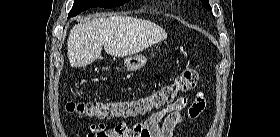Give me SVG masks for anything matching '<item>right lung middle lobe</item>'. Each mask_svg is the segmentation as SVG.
<instances>
[{"instance_id":"1","label":"right lung middle lobe","mask_w":280,"mask_h":137,"mask_svg":"<svg viewBox=\"0 0 280 137\" xmlns=\"http://www.w3.org/2000/svg\"><path fill=\"white\" fill-rule=\"evenodd\" d=\"M128 1L129 0H74V5L69 12L68 18L76 16L80 12L92 7L114 8Z\"/></svg>"}]
</instances>
